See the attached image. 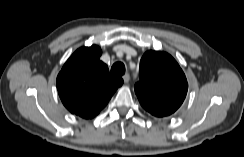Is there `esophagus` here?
<instances>
[{
  "mask_svg": "<svg viewBox=\"0 0 244 157\" xmlns=\"http://www.w3.org/2000/svg\"><path fill=\"white\" fill-rule=\"evenodd\" d=\"M123 80H124V83L127 84L129 82V80H130V75L129 74L123 75Z\"/></svg>",
  "mask_w": 244,
  "mask_h": 157,
  "instance_id": "esophagus-1",
  "label": "esophagus"
}]
</instances>
